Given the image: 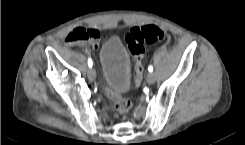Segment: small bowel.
Masks as SVG:
<instances>
[{
  "label": "small bowel",
  "mask_w": 245,
  "mask_h": 145,
  "mask_svg": "<svg viewBox=\"0 0 245 145\" xmlns=\"http://www.w3.org/2000/svg\"><path fill=\"white\" fill-rule=\"evenodd\" d=\"M96 31L98 32L99 36L94 42L90 43L92 48H97L100 45L102 38H103V35L98 30Z\"/></svg>",
  "instance_id": "c3829d8e"
}]
</instances>
